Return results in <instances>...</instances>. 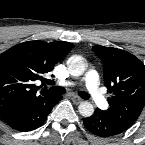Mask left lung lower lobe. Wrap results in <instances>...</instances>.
I'll list each match as a JSON object with an SVG mask.
<instances>
[{"label": "left lung lower lobe", "mask_w": 145, "mask_h": 145, "mask_svg": "<svg viewBox=\"0 0 145 145\" xmlns=\"http://www.w3.org/2000/svg\"><path fill=\"white\" fill-rule=\"evenodd\" d=\"M83 123L91 133L100 137L115 136L126 130L107 117L100 109H96L92 116L83 118Z\"/></svg>", "instance_id": "left-lung-lower-lobe-1"}]
</instances>
